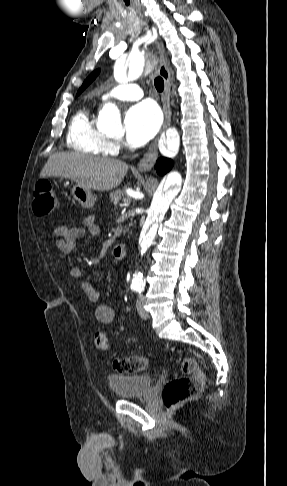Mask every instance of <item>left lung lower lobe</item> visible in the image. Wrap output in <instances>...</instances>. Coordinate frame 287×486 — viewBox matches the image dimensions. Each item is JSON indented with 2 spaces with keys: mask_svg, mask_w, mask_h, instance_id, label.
Returning a JSON list of instances; mask_svg holds the SVG:
<instances>
[{
  "mask_svg": "<svg viewBox=\"0 0 287 486\" xmlns=\"http://www.w3.org/2000/svg\"><path fill=\"white\" fill-rule=\"evenodd\" d=\"M172 167V161L166 158H160L156 163V170L159 174H165Z\"/></svg>",
  "mask_w": 287,
  "mask_h": 486,
  "instance_id": "0a47b994",
  "label": "left lung lower lobe"
}]
</instances>
